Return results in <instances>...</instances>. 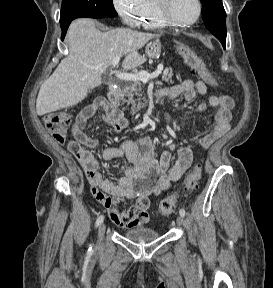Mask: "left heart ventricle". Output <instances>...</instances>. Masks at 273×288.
I'll return each instance as SVG.
<instances>
[{"instance_id": "obj_1", "label": "left heart ventricle", "mask_w": 273, "mask_h": 288, "mask_svg": "<svg viewBox=\"0 0 273 288\" xmlns=\"http://www.w3.org/2000/svg\"><path fill=\"white\" fill-rule=\"evenodd\" d=\"M169 13L178 22L190 21L197 14L196 0H170Z\"/></svg>"}]
</instances>
